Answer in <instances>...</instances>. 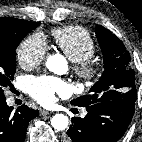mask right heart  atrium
<instances>
[{
	"mask_svg": "<svg viewBox=\"0 0 142 142\" xmlns=\"http://www.w3.org/2000/svg\"><path fill=\"white\" fill-rule=\"evenodd\" d=\"M47 52V44L41 33L27 36L17 49V58L21 67L32 69L38 67Z\"/></svg>",
	"mask_w": 142,
	"mask_h": 142,
	"instance_id": "right-heart-atrium-1",
	"label": "right heart atrium"
}]
</instances>
